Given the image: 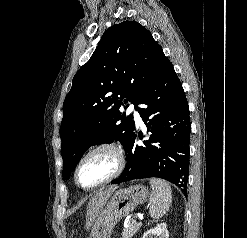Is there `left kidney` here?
I'll return each mask as SVG.
<instances>
[{"instance_id": "left-kidney-1", "label": "left kidney", "mask_w": 247, "mask_h": 238, "mask_svg": "<svg viewBox=\"0 0 247 238\" xmlns=\"http://www.w3.org/2000/svg\"><path fill=\"white\" fill-rule=\"evenodd\" d=\"M169 232L167 230V225L165 223H161L154 227L153 229L148 230L144 233L142 238H168Z\"/></svg>"}]
</instances>
